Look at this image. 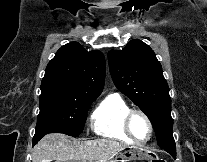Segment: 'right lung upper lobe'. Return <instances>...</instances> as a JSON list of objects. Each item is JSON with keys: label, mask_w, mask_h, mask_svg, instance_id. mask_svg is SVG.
Segmentation results:
<instances>
[{"label": "right lung upper lobe", "mask_w": 207, "mask_h": 162, "mask_svg": "<svg viewBox=\"0 0 207 162\" xmlns=\"http://www.w3.org/2000/svg\"><path fill=\"white\" fill-rule=\"evenodd\" d=\"M105 59L100 51H86L79 43L62 46L49 62L41 90L99 96L104 87Z\"/></svg>", "instance_id": "cb5924a9"}]
</instances>
